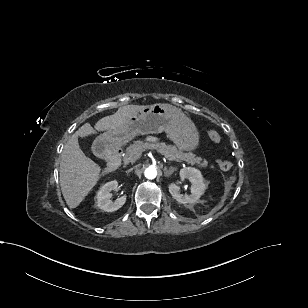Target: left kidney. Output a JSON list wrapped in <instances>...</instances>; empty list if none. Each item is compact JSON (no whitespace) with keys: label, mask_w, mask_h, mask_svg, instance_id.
<instances>
[{"label":"left kidney","mask_w":308,"mask_h":308,"mask_svg":"<svg viewBox=\"0 0 308 308\" xmlns=\"http://www.w3.org/2000/svg\"><path fill=\"white\" fill-rule=\"evenodd\" d=\"M180 179L182 181L188 179L191 182V194H180V187L172 183L169 185V192L172 197L181 204H194L198 202L206 189L201 172L191 167L183 168L180 170Z\"/></svg>","instance_id":"1"}]
</instances>
